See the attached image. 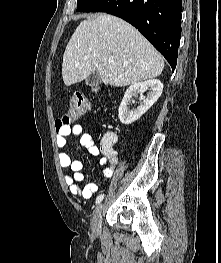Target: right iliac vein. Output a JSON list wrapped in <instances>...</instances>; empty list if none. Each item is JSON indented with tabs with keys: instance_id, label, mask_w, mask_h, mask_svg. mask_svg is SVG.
<instances>
[{
	"instance_id": "right-iliac-vein-1",
	"label": "right iliac vein",
	"mask_w": 221,
	"mask_h": 263,
	"mask_svg": "<svg viewBox=\"0 0 221 263\" xmlns=\"http://www.w3.org/2000/svg\"><path fill=\"white\" fill-rule=\"evenodd\" d=\"M102 211H103V204L99 203L94 210L93 219H92V230L95 233L99 232L101 227Z\"/></svg>"
}]
</instances>
